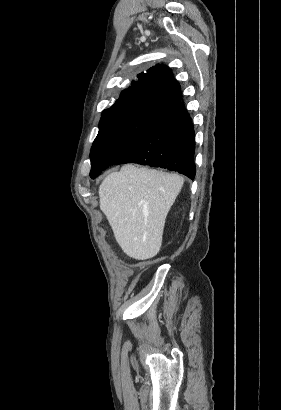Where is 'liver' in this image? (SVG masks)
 <instances>
[{
  "label": "liver",
  "instance_id": "1",
  "mask_svg": "<svg viewBox=\"0 0 281 410\" xmlns=\"http://www.w3.org/2000/svg\"><path fill=\"white\" fill-rule=\"evenodd\" d=\"M183 183L177 174L132 164L102 181L100 209L126 255L136 260L157 255L167 214Z\"/></svg>",
  "mask_w": 281,
  "mask_h": 410
}]
</instances>
